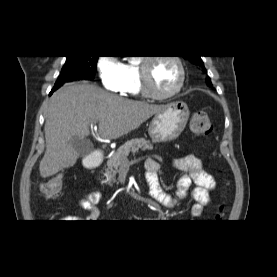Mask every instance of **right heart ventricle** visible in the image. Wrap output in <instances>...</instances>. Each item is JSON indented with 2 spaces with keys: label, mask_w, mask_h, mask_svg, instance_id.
Returning <instances> with one entry per match:
<instances>
[{
  "label": "right heart ventricle",
  "mask_w": 277,
  "mask_h": 277,
  "mask_svg": "<svg viewBox=\"0 0 277 277\" xmlns=\"http://www.w3.org/2000/svg\"><path fill=\"white\" fill-rule=\"evenodd\" d=\"M139 67L140 64L136 63L125 64L126 85L124 92L133 96L142 95L140 89Z\"/></svg>",
  "instance_id": "obj_1"
}]
</instances>
